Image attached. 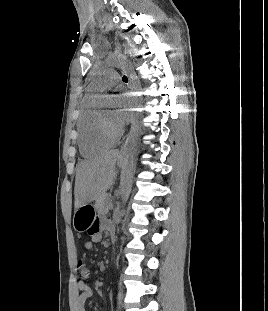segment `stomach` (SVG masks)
<instances>
[{
	"instance_id": "0dacf381",
	"label": "stomach",
	"mask_w": 268,
	"mask_h": 311,
	"mask_svg": "<svg viewBox=\"0 0 268 311\" xmlns=\"http://www.w3.org/2000/svg\"><path fill=\"white\" fill-rule=\"evenodd\" d=\"M124 164H125V158L122 157L118 160V165L123 166ZM89 206L90 205L86 204L76 209L74 212L73 227L75 231L79 233L87 231L93 223L94 209Z\"/></svg>"
}]
</instances>
